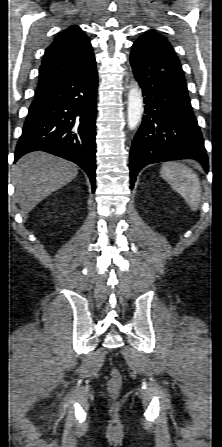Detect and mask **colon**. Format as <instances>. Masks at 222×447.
<instances>
[{"mask_svg":"<svg viewBox=\"0 0 222 447\" xmlns=\"http://www.w3.org/2000/svg\"><path fill=\"white\" fill-rule=\"evenodd\" d=\"M122 385H123L122 374L118 370H113L107 382V390L109 394L113 396L117 395L120 392Z\"/></svg>","mask_w":222,"mask_h":447,"instance_id":"colon-1","label":"colon"}]
</instances>
